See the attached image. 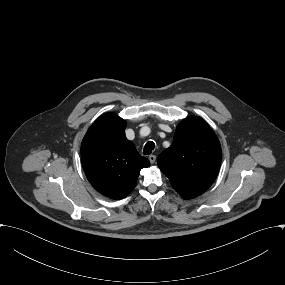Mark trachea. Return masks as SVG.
Returning <instances> with one entry per match:
<instances>
[{
  "label": "trachea",
  "instance_id": "1",
  "mask_svg": "<svg viewBox=\"0 0 285 285\" xmlns=\"http://www.w3.org/2000/svg\"><path fill=\"white\" fill-rule=\"evenodd\" d=\"M155 148V143L153 141H149L145 144L144 149H143V154L144 155H149L152 153V151Z\"/></svg>",
  "mask_w": 285,
  "mask_h": 285
}]
</instances>
